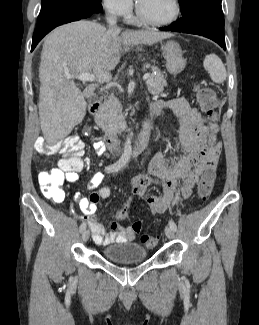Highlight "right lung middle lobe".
Segmentation results:
<instances>
[{"label": "right lung middle lobe", "mask_w": 259, "mask_h": 325, "mask_svg": "<svg viewBox=\"0 0 259 325\" xmlns=\"http://www.w3.org/2000/svg\"><path fill=\"white\" fill-rule=\"evenodd\" d=\"M41 3L42 6L38 21L50 12L66 7H75L94 13H99L102 9L101 0H41Z\"/></svg>", "instance_id": "dd1d6c3e"}]
</instances>
